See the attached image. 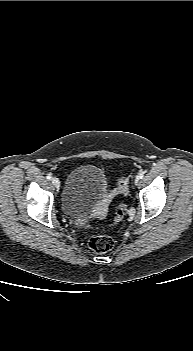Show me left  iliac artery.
<instances>
[{
  "instance_id": "left-iliac-artery-1",
  "label": "left iliac artery",
  "mask_w": 193,
  "mask_h": 351,
  "mask_svg": "<svg viewBox=\"0 0 193 351\" xmlns=\"http://www.w3.org/2000/svg\"><path fill=\"white\" fill-rule=\"evenodd\" d=\"M144 173H145V172L140 171V172L138 173V175H137V178H138V179H142L143 176H144Z\"/></svg>"
}]
</instances>
